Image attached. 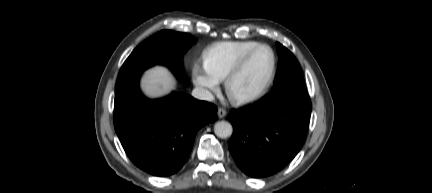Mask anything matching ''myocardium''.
<instances>
[{
    "label": "myocardium",
    "instance_id": "1",
    "mask_svg": "<svg viewBox=\"0 0 432 193\" xmlns=\"http://www.w3.org/2000/svg\"><path fill=\"white\" fill-rule=\"evenodd\" d=\"M261 48L269 49L271 54H272V58H273L272 68H271V71H270V74L267 78L266 83L258 92L254 93L252 95H248V96L235 95L233 93L232 87H231L232 81L241 72V70L245 67V65L247 64L249 59L252 57V55ZM276 73H277V54H276L275 50L268 44L260 43V44L256 45L255 47H253L252 49H250L248 52H246L236 62V64L231 68V70L228 72V74L226 75V77L224 79V86H225L226 94H227L229 100L236 106H246V105L253 104V103L257 102L258 100H260L261 98H263L268 93V91L270 90V88L274 82Z\"/></svg>",
    "mask_w": 432,
    "mask_h": 193
}]
</instances>
